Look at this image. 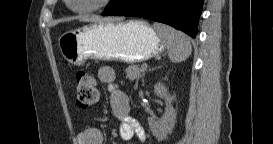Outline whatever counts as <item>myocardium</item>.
<instances>
[{
  "label": "myocardium",
  "instance_id": "1",
  "mask_svg": "<svg viewBox=\"0 0 273 144\" xmlns=\"http://www.w3.org/2000/svg\"><path fill=\"white\" fill-rule=\"evenodd\" d=\"M68 2H71V0H68ZM111 2H112V0H97L91 6L84 7V8L71 7V9L74 12H77L79 14L93 13V12H97V11L107 8L111 4Z\"/></svg>",
  "mask_w": 273,
  "mask_h": 144
}]
</instances>
